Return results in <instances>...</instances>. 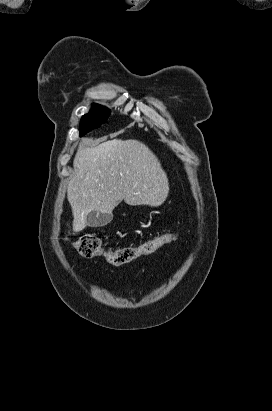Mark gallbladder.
<instances>
[{
  "label": "gallbladder",
  "mask_w": 272,
  "mask_h": 411,
  "mask_svg": "<svg viewBox=\"0 0 272 411\" xmlns=\"http://www.w3.org/2000/svg\"><path fill=\"white\" fill-rule=\"evenodd\" d=\"M111 221L110 214H102L96 210L91 211L87 216V225L89 227L105 226Z\"/></svg>",
  "instance_id": "gallbladder-1"
}]
</instances>
